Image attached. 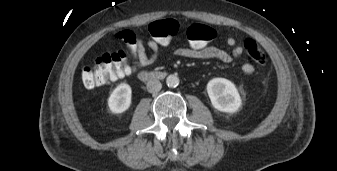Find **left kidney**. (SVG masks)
Wrapping results in <instances>:
<instances>
[{
  "mask_svg": "<svg viewBox=\"0 0 337 171\" xmlns=\"http://www.w3.org/2000/svg\"><path fill=\"white\" fill-rule=\"evenodd\" d=\"M207 93L213 107L221 112L234 113L242 100L234 83L225 78H214L207 84Z\"/></svg>",
  "mask_w": 337,
  "mask_h": 171,
  "instance_id": "1",
  "label": "left kidney"
}]
</instances>
